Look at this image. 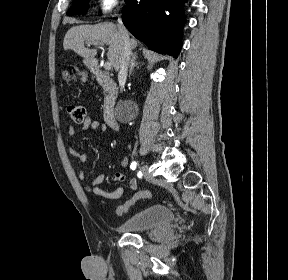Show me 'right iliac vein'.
<instances>
[{"label": "right iliac vein", "instance_id": "63e3f726", "mask_svg": "<svg viewBox=\"0 0 288 280\" xmlns=\"http://www.w3.org/2000/svg\"><path fill=\"white\" fill-rule=\"evenodd\" d=\"M141 170H142L143 174H144L146 177H151V174L149 173L148 168H147L146 165H142V166H141Z\"/></svg>", "mask_w": 288, "mask_h": 280}]
</instances>
